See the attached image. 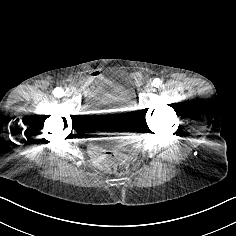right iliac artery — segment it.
<instances>
[{
    "instance_id": "82829eb1",
    "label": "right iliac artery",
    "mask_w": 236,
    "mask_h": 236,
    "mask_svg": "<svg viewBox=\"0 0 236 236\" xmlns=\"http://www.w3.org/2000/svg\"><path fill=\"white\" fill-rule=\"evenodd\" d=\"M53 95L57 98H61L65 95V92L64 90L61 88V87H56L54 90H53Z\"/></svg>"
}]
</instances>
